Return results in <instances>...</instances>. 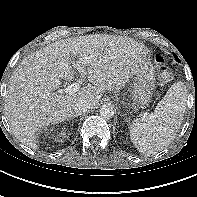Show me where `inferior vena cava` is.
<instances>
[{"label": "inferior vena cava", "mask_w": 197, "mask_h": 197, "mask_svg": "<svg viewBox=\"0 0 197 197\" xmlns=\"http://www.w3.org/2000/svg\"><path fill=\"white\" fill-rule=\"evenodd\" d=\"M72 108L75 115H81L91 108V103L87 99L80 98L74 103Z\"/></svg>", "instance_id": "602c4592"}]
</instances>
